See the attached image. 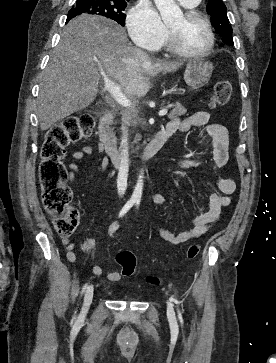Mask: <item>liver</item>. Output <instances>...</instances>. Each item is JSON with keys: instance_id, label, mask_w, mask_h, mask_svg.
<instances>
[{"instance_id": "liver-1", "label": "liver", "mask_w": 276, "mask_h": 363, "mask_svg": "<svg viewBox=\"0 0 276 363\" xmlns=\"http://www.w3.org/2000/svg\"><path fill=\"white\" fill-rule=\"evenodd\" d=\"M182 62L153 60L133 47L116 22L83 14L64 28L41 74L38 95L40 129L83 110L95 100L102 74L120 84L128 98L143 97L151 78L174 72Z\"/></svg>"}]
</instances>
